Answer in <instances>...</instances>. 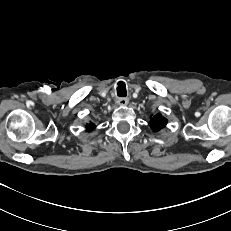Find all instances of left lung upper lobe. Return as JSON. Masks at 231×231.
I'll return each mask as SVG.
<instances>
[{"mask_svg": "<svg viewBox=\"0 0 231 231\" xmlns=\"http://www.w3.org/2000/svg\"><path fill=\"white\" fill-rule=\"evenodd\" d=\"M167 119L164 118L161 114H157L153 117H150L149 125L154 131H159L161 128L165 127Z\"/></svg>", "mask_w": 231, "mask_h": 231, "instance_id": "1", "label": "left lung upper lobe"}]
</instances>
